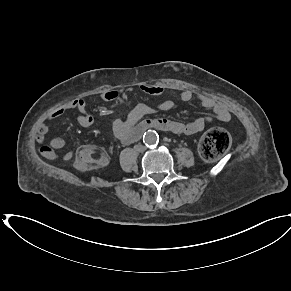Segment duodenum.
<instances>
[{
	"mask_svg": "<svg viewBox=\"0 0 291 291\" xmlns=\"http://www.w3.org/2000/svg\"><path fill=\"white\" fill-rule=\"evenodd\" d=\"M146 129L149 130V129H152V128H151L150 126H147ZM147 130H146V131H147ZM146 131H145V132H146ZM145 132H144V133H145ZM144 133H143V134H144Z\"/></svg>",
	"mask_w": 291,
	"mask_h": 291,
	"instance_id": "obj_1",
	"label": "duodenum"
}]
</instances>
